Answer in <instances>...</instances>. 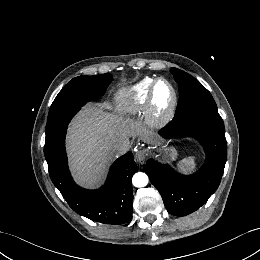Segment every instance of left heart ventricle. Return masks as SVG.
I'll return each mask as SVG.
<instances>
[{
  "mask_svg": "<svg viewBox=\"0 0 260 260\" xmlns=\"http://www.w3.org/2000/svg\"><path fill=\"white\" fill-rule=\"evenodd\" d=\"M172 102V92L163 82H160L156 88L155 106L160 113H166Z\"/></svg>",
  "mask_w": 260,
  "mask_h": 260,
  "instance_id": "b2bd125f",
  "label": "left heart ventricle"
}]
</instances>
